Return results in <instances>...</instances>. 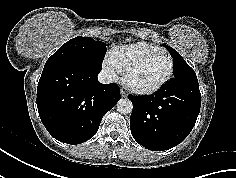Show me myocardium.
<instances>
[{"mask_svg":"<svg viewBox=\"0 0 236 178\" xmlns=\"http://www.w3.org/2000/svg\"><path fill=\"white\" fill-rule=\"evenodd\" d=\"M157 55H166V56H168V58L170 60L169 70H168L167 74L165 75V77L161 81H159L157 84H155L153 86H149V87H142V86H138V85L134 84L131 81L132 73L138 67H140L145 61H147L150 58H153ZM173 71H174V59H173L172 55L165 50L155 51V52L149 53V54L142 56V57L136 59L135 61H133L123 72L122 80H123L124 85L133 93L142 94V95L151 94V93H154V92L158 91L159 89H161L170 80V78L173 75Z\"/></svg>","mask_w":236,"mask_h":178,"instance_id":"f54148a6","label":"myocardium"}]
</instances>
